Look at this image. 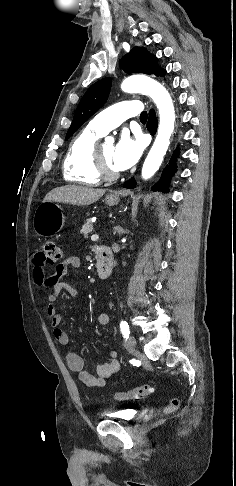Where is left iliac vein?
<instances>
[{"instance_id":"obj_1","label":"left iliac vein","mask_w":236,"mask_h":486,"mask_svg":"<svg viewBox=\"0 0 236 486\" xmlns=\"http://www.w3.org/2000/svg\"><path fill=\"white\" fill-rule=\"evenodd\" d=\"M125 347L127 350H134L136 347V339L130 336L125 342Z\"/></svg>"}]
</instances>
